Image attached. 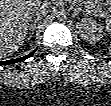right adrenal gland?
Masks as SVG:
<instances>
[{"mask_svg": "<svg viewBox=\"0 0 111 106\" xmlns=\"http://www.w3.org/2000/svg\"><path fill=\"white\" fill-rule=\"evenodd\" d=\"M39 20L38 19H35L34 22H32L29 26V30H28V38L27 40H30V38L33 36L34 34V30H35V27H36V23L38 22Z\"/></svg>", "mask_w": 111, "mask_h": 106, "instance_id": "obj_1", "label": "right adrenal gland"}]
</instances>
